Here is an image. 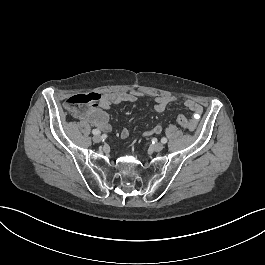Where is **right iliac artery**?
<instances>
[{
  "label": "right iliac artery",
  "mask_w": 265,
  "mask_h": 265,
  "mask_svg": "<svg viewBox=\"0 0 265 265\" xmlns=\"http://www.w3.org/2000/svg\"><path fill=\"white\" fill-rule=\"evenodd\" d=\"M92 133H93L94 135H97V134H100V131L97 130V129H93V130H92Z\"/></svg>",
  "instance_id": "obj_1"
}]
</instances>
